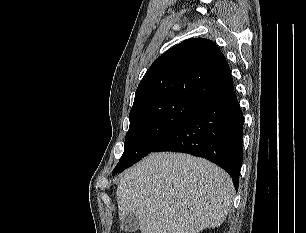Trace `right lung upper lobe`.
Instances as JSON below:
<instances>
[{"label": "right lung upper lobe", "instance_id": "obj_1", "mask_svg": "<svg viewBox=\"0 0 306 233\" xmlns=\"http://www.w3.org/2000/svg\"><path fill=\"white\" fill-rule=\"evenodd\" d=\"M233 88L231 71L217 45L190 38L160 56L140 81L131 111L163 98H185L201 105Z\"/></svg>", "mask_w": 306, "mask_h": 233}]
</instances>
